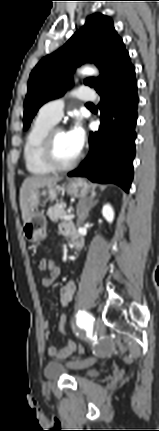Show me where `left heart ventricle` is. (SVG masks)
Here are the masks:
<instances>
[{
	"mask_svg": "<svg viewBox=\"0 0 159 431\" xmlns=\"http://www.w3.org/2000/svg\"><path fill=\"white\" fill-rule=\"evenodd\" d=\"M79 153L72 147L66 132H58L55 137V156L62 164L72 162Z\"/></svg>",
	"mask_w": 159,
	"mask_h": 431,
	"instance_id": "left-heart-ventricle-1",
	"label": "left heart ventricle"
}]
</instances>
